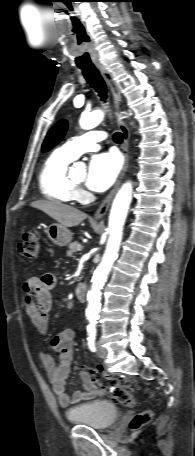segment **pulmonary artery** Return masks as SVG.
<instances>
[{
    "label": "pulmonary artery",
    "instance_id": "obj_1",
    "mask_svg": "<svg viewBox=\"0 0 195 456\" xmlns=\"http://www.w3.org/2000/svg\"><path fill=\"white\" fill-rule=\"evenodd\" d=\"M106 138L102 131H90L66 142L60 149L70 158L76 159L81 154L99 149V144Z\"/></svg>",
    "mask_w": 195,
    "mask_h": 456
}]
</instances>
